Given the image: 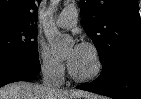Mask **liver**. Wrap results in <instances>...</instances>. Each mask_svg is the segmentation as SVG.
Returning <instances> with one entry per match:
<instances>
[{
    "mask_svg": "<svg viewBox=\"0 0 141 99\" xmlns=\"http://www.w3.org/2000/svg\"><path fill=\"white\" fill-rule=\"evenodd\" d=\"M97 99L94 94L82 90L64 91L48 89L43 85L29 82H14L0 88V99Z\"/></svg>",
    "mask_w": 141,
    "mask_h": 99,
    "instance_id": "1",
    "label": "liver"
}]
</instances>
